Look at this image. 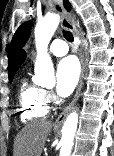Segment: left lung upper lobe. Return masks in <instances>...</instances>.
Listing matches in <instances>:
<instances>
[{
  "label": "left lung upper lobe",
  "mask_w": 114,
  "mask_h": 156,
  "mask_svg": "<svg viewBox=\"0 0 114 156\" xmlns=\"http://www.w3.org/2000/svg\"><path fill=\"white\" fill-rule=\"evenodd\" d=\"M30 33H31L30 21L21 24V26L17 29L9 46L8 53L9 62H11L14 54L25 45L30 36Z\"/></svg>",
  "instance_id": "obj_1"
}]
</instances>
